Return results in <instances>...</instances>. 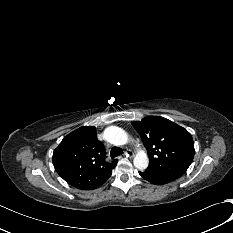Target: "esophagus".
Returning a JSON list of instances; mask_svg holds the SVG:
<instances>
[{"label": "esophagus", "mask_w": 233, "mask_h": 233, "mask_svg": "<svg viewBox=\"0 0 233 233\" xmlns=\"http://www.w3.org/2000/svg\"><path fill=\"white\" fill-rule=\"evenodd\" d=\"M124 154L126 157H133L134 156V153L131 150H126Z\"/></svg>", "instance_id": "1"}]
</instances>
